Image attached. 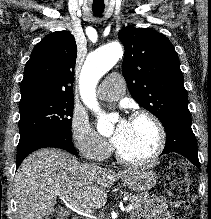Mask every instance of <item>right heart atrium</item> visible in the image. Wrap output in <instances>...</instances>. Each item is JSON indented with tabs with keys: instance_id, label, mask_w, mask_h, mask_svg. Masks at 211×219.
Segmentation results:
<instances>
[{
	"instance_id": "obj_1",
	"label": "right heart atrium",
	"mask_w": 211,
	"mask_h": 219,
	"mask_svg": "<svg viewBox=\"0 0 211 219\" xmlns=\"http://www.w3.org/2000/svg\"><path fill=\"white\" fill-rule=\"evenodd\" d=\"M71 138L76 149L89 160L102 161L110 152L108 144L98 136L88 120L82 116H73Z\"/></svg>"
}]
</instances>
